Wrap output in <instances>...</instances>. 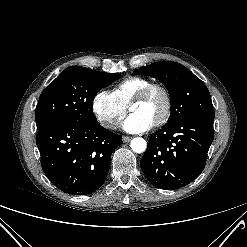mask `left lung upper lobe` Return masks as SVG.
<instances>
[{
  "label": "left lung upper lobe",
  "mask_w": 247,
  "mask_h": 247,
  "mask_svg": "<svg viewBox=\"0 0 247 247\" xmlns=\"http://www.w3.org/2000/svg\"><path fill=\"white\" fill-rule=\"evenodd\" d=\"M160 80L171 99V115L168 125L187 117L214 121V109L205 84L192 72L173 61L155 62L134 71Z\"/></svg>",
  "instance_id": "obj_1"
}]
</instances>
